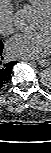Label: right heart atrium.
Returning a JSON list of instances; mask_svg holds the SVG:
<instances>
[{"instance_id": "1", "label": "right heart atrium", "mask_w": 51, "mask_h": 153, "mask_svg": "<svg viewBox=\"0 0 51 153\" xmlns=\"http://www.w3.org/2000/svg\"><path fill=\"white\" fill-rule=\"evenodd\" d=\"M16 23L13 7L8 0L0 1V33L9 36L15 32Z\"/></svg>"}]
</instances>
